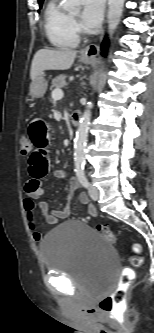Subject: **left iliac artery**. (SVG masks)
Listing matches in <instances>:
<instances>
[{"mask_svg":"<svg viewBox=\"0 0 154 333\" xmlns=\"http://www.w3.org/2000/svg\"><path fill=\"white\" fill-rule=\"evenodd\" d=\"M75 172H76V176H77V179L78 181L84 186V187H88L89 183H88V180L86 178V175H85V170H84V167H77L75 169Z\"/></svg>","mask_w":154,"mask_h":333,"instance_id":"1","label":"left iliac artery"}]
</instances>
